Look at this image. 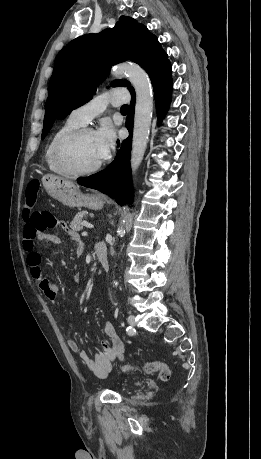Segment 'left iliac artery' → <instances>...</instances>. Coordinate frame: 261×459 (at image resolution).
<instances>
[{
    "mask_svg": "<svg viewBox=\"0 0 261 459\" xmlns=\"http://www.w3.org/2000/svg\"><path fill=\"white\" fill-rule=\"evenodd\" d=\"M126 331L129 335H133L135 333V329H133L131 326H128Z\"/></svg>",
    "mask_w": 261,
    "mask_h": 459,
    "instance_id": "left-iliac-artery-1",
    "label": "left iliac artery"
}]
</instances>
